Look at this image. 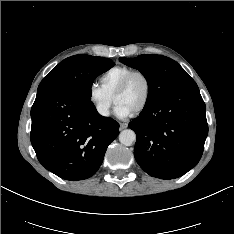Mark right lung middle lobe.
I'll return each mask as SVG.
<instances>
[{
    "mask_svg": "<svg viewBox=\"0 0 234 234\" xmlns=\"http://www.w3.org/2000/svg\"><path fill=\"white\" fill-rule=\"evenodd\" d=\"M114 63L103 57L74 55L60 62L40 83L38 91L47 88L71 87L90 101L94 79L112 68Z\"/></svg>",
    "mask_w": 234,
    "mask_h": 234,
    "instance_id": "obj_1",
    "label": "right lung middle lobe"
}]
</instances>
